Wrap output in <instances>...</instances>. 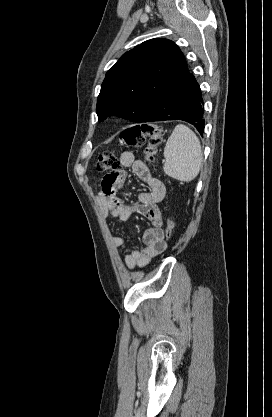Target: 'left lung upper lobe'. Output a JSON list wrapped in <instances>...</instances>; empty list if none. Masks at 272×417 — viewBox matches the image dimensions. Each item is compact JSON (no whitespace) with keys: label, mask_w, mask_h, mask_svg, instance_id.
Segmentation results:
<instances>
[{"label":"left lung upper lobe","mask_w":272,"mask_h":417,"mask_svg":"<svg viewBox=\"0 0 272 417\" xmlns=\"http://www.w3.org/2000/svg\"><path fill=\"white\" fill-rule=\"evenodd\" d=\"M186 68L183 53L170 40L137 45L107 72L97 99L98 120L116 115L141 123Z\"/></svg>","instance_id":"obj_1"}]
</instances>
